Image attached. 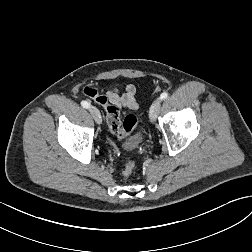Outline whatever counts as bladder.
Masks as SVG:
<instances>
[{"label": "bladder", "mask_w": 252, "mask_h": 252, "mask_svg": "<svg viewBox=\"0 0 252 252\" xmlns=\"http://www.w3.org/2000/svg\"><path fill=\"white\" fill-rule=\"evenodd\" d=\"M143 141L142 133H136L130 136L124 143L123 147L125 150H133L138 148Z\"/></svg>", "instance_id": "obj_1"}]
</instances>
